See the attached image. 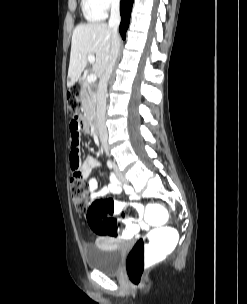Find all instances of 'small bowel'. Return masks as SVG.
I'll return each instance as SVG.
<instances>
[{
	"label": "small bowel",
	"instance_id": "small-bowel-1",
	"mask_svg": "<svg viewBox=\"0 0 247 304\" xmlns=\"http://www.w3.org/2000/svg\"><path fill=\"white\" fill-rule=\"evenodd\" d=\"M71 119H79V120H68V127H70V141L71 145L69 146L70 151V167L72 170V176L76 175L80 177L82 180H87V190L90 193V199H98L104 197L109 194H118L123 190L129 197L133 200L137 199L138 196L135 191L128 186H123L121 183L117 181V179L110 175V182L107 186L99 189L98 181L95 178H90L91 172L100 165V162L97 158L93 156H88L85 160L82 158V149H79L81 137L83 135V131H88V125L84 120H80L81 113L80 112H71ZM134 228L137 229H147L148 225H144L143 221L138 222Z\"/></svg>",
	"mask_w": 247,
	"mask_h": 304
}]
</instances>
